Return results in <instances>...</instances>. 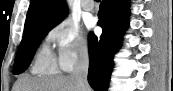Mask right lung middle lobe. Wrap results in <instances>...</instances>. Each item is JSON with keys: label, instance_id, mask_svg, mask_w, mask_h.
<instances>
[{"label": "right lung middle lobe", "instance_id": "1", "mask_svg": "<svg viewBox=\"0 0 173 91\" xmlns=\"http://www.w3.org/2000/svg\"><path fill=\"white\" fill-rule=\"evenodd\" d=\"M57 24L53 26L42 25L24 32L13 66L14 74H20L28 67L41 40L45 37L48 31Z\"/></svg>", "mask_w": 173, "mask_h": 91}]
</instances>
